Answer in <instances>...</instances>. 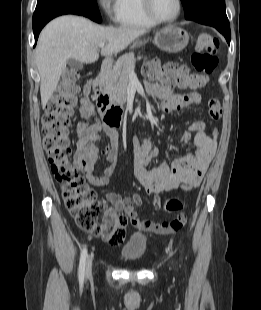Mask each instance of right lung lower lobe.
<instances>
[{"instance_id": "right-lung-lower-lobe-1", "label": "right lung lower lobe", "mask_w": 261, "mask_h": 310, "mask_svg": "<svg viewBox=\"0 0 261 310\" xmlns=\"http://www.w3.org/2000/svg\"><path fill=\"white\" fill-rule=\"evenodd\" d=\"M63 14L60 13H54V14H49L46 15L42 18H40L39 20H37L36 22L33 23V31H34V37H35V41H37L39 33L41 31V29L45 26L46 23H48L51 19L60 16Z\"/></svg>"}]
</instances>
